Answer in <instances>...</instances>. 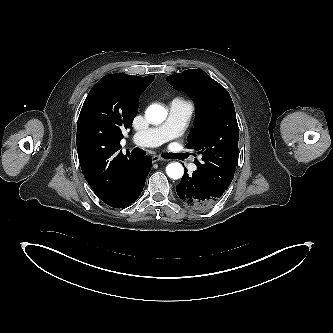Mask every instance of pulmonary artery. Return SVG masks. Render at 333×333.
Returning <instances> with one entry per match:
<instances>
[{
    "label": "pulmonary artery",
    "instance_id": "pulmonary-artery-1",
    "mask_svg": "<svg viewBox=\"0 0 333 333\" xmlns=\"http://www.w3.org/2000/svg\"><path fill=\"white\" fill-rule=\"evenodd\" d=\"M193 106L190 102L182 99H174L169 106V115L166 121L145 131L138 132L133 136V142L143 147L159 146L178 136L192 115ZM190 171L196 170V165L189 166Z\"/></svg>",
    "mask_w": 333,
    "mask_h": 333
}]
</instances>
